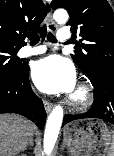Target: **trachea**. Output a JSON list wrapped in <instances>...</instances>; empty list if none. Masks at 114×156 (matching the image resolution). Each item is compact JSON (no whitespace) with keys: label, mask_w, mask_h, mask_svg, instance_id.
Segmentation results:
<instances>
[{"label":"trachea","mask_w":114,"mask_h":156,"mask_svg":"<svg viewBox=\"0 0 114 156\" xmlns=\"http://www.w3.org/2000/svg\"><path fill=\"white\" fill-rule=\"evenodd\" d=\"M27 37L30 40L31 44H37L40 41V37L36 33H27ZM47 39L49 42H52V43L57 42L56 37L51 32L48 33Z\"/></svg>","instance_id":"1"}]
</instances>
